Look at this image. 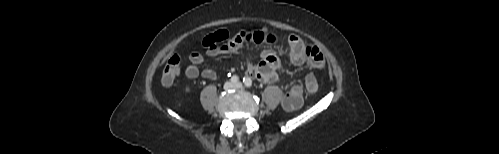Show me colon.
Instances as JSON below:
<instances>
[{
  "instance_id": "obj_1",
  "label": "colon",
  "mask_w": 499,
  "mask_h": 154,
  "mask_svg": "<svg viewBox=\"0 0 499 154\" xmlns=\"http://www.w3.org/2000/svg\"><path fill=\"white\" fill-rule=\"evenodd\" d=\"M181 58L177 54L171 55L162 68V83L170 86L175 81L180 71ZM305 89L308 93L314 94L319 89V84L313 74H308L305 78Z\"/></svg>"
}]
</instances>
